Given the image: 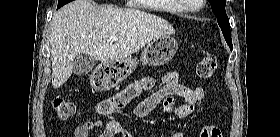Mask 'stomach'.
<instances>
[{"label": "stomach", "mask_w": 280, "mask_h": 137, "mask_svg": "<svg viewBox=\"0 0 280 137\" xmlns=\"http://www.w3.org/2000/svg\"><path fill=\"white\" fill-rule=\"evenodd\" d=\"M177 49L178 43L174 38L159 37L144 48L140 61L128 57L103 62L99 66L98 76L92 81V86L97 90L111 89L127 78L136 69L139 62L151 66L164 65L174 57Z\"/></svg>", "instance_id": "obj_1"}]
</instances>
